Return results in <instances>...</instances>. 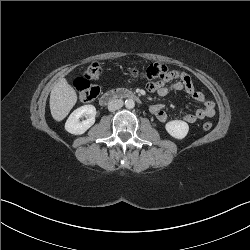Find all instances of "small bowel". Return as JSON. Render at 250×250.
Listing matches in <instances>:
<instances>
[{"label": "small bowel", "mask_w": 250, "mask_h": 250, "mask_svg": "<svg viewBox=\"0 0 250 250\" xmlns=\"http://www.w3.org/2000/svg\"><path fill=\"white\" fill-rule=\"evenodd\" d=\"M145 88L148 91L157 93L161 97H164L171 92L183 90L195 101L201 103V108L196 109L193 113L182 115L181 118L189 124H193L198 120L210 118L215 115L214 102L207 99L201 91L195 88L191 78L185 72H167L164 74L163 78L158 80V82L148 80L145 83ZM150 111L160 122H166L169 118L166 106L163 104L152 105Z\"/></svg>", "instance_id": "obj_1"}]
</instances>
